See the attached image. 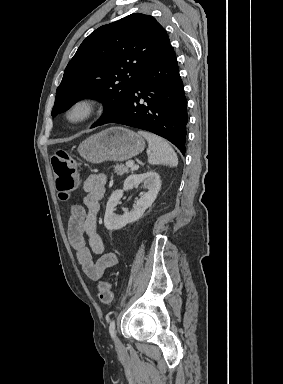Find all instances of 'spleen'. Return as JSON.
Wrapping results in <instances>:
<instances>
[{
  "label": "spleen",
  "instance_id": "spleen-1",
  "mask_svg": "<svg viewBox=\"0 0 283 384\" xmlns=\"http://www.w3.org/2000/svg\"><path fill=\"white\" fill-rule=\"evenodd\" d=\"M138 134L147 140L149 150L152 152L148 156L149 164H163V166L176 168L178 164L177 154H175L168 142H165L159 136H155V134H148V132H138Z\"/></svg>",
  "mask_w": 283,
  "mask_h": 384
}]
</instances>
